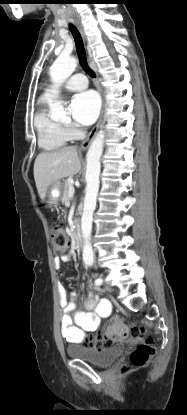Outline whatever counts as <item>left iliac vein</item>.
I'll return each instance as SVG.
<instances>
[{
    "label": "left iliac vein",
    "instance_id": "1",
    "mask_svg": "<svg viewBox=\"0 0 187 415\" xmlns=\"http://www.w3.org/2000/svg\"><path fill=\"white\" fill-rule=\"evenodd\" d=\"M105 289L107 291H109V292H113L114 291V289L110 285H108V284L105 285Z\"/></svg>",
    "mask_w": 187,
    "mask_h": 415
}]
</instances>
